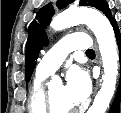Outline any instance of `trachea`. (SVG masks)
<instances>
[{
    "label": "trachea",
    "instance_id": "obj_1",
    "mask_svg": "<svg viewBox=\"0 0 121 113\" xmlns=\"http://www.w3.org/2000/svg\"><path fill=\"white\" fill-rule=\"evenodd\" d=\"M95 52H94V50H92V49H89V50H87L86 51V54H94Z\"/></svg>",
    "mask_w": 121,
    "mask_h": 113
}]
</instances>
